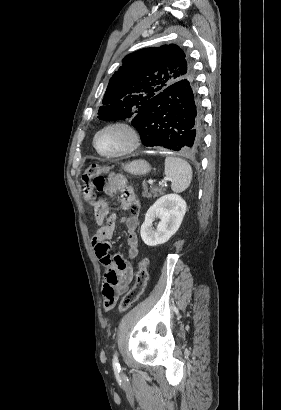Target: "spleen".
<instances>
[{
	"label": "spleen",
	"instance_id": "3e777b00",
	"mask_svg": "<svg viewBox=\"0 0 281 410\" xmlns=\"http://www.w3.org/2000/svg\"><path fill=\"white\" fill-rule=\"evenodd\" d=\"M165 175L171 181L172 191L182 192L191 183L192 168L184 159L168 156L165 159Z\"/></svg>",
	"mask_w": 281,
	"mask_h": 410
}]
</instances>
